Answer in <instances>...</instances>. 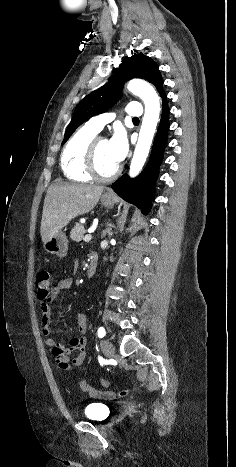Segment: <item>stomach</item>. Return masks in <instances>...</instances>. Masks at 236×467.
<instances>
[{
  "instance_id": "obj_1",
  "label": "stomach",
  "mask_w": 236,
  "mask_h": 467,
  "mask_svg": "<svg viewBox=\"0 0 236 467\" xmlns=\"http://www.w3.org/2000/svg\"><path fill=\"white\" fill-rule=\"evenodd\" d=\"M115 199L108 194H104L101 197V204L106 208H112L114 206ZM43 248L46 252L54 254L60 258L67 255L68 251V239L64 232L59 231L49 240L43 243Z\"/></svg>"
}]
</instances>
